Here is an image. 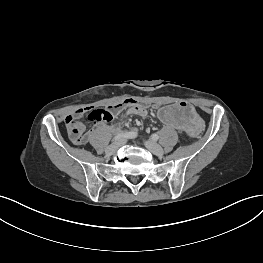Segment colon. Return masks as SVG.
<instances>
[{"label": "colon", "instance_id": "1", "mask_svg": "<svg viewBox=\"0 0 263 263\" xmlns=\"http://www.w3.org/2000/svg\"><path fill=\"white\" fill-rule=\"evenodd\" d=\"M127 104H140L141 102L135 99H127L121 103L111 105L106 109H92L89 111L87 119L90 123L101 121H110L113 119L115 112L121 106ZM65 126L70 139L76 144H82L86 141L87 135L84 125L78 121L75 115H68L65 119Z\"/></svg>", "mask_w": 263, "mask_h": 263}]
</instances>
